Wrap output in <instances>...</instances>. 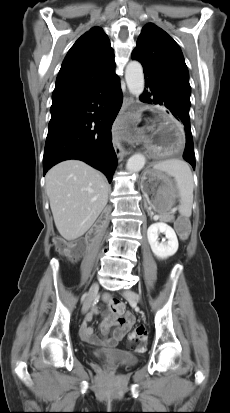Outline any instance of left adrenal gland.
Wrapping results in <instances>:
<instances>
[{"mask_svg":"<svg viewBox=\"0 0 230 413\" xmlns=\"http://www.w3.org/2000/svg\"><path fill=\"white\" fill-rule=\"evenodd\" d=\"M145 207H147L146 203H145ZM148 215H150L152 217V215L150 214V212L148 211Z\"/></svg>","mask_w":230,"mask_h":413,"instance_id":"obj_1","label":"left adrenal gland"}]
</instances>
